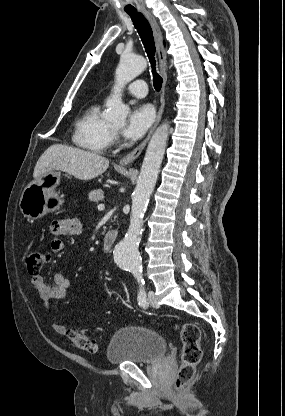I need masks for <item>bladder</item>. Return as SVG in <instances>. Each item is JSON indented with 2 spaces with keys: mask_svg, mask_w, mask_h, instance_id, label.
<instances>
[{
  "mask_svg": "<svg viewBox=\"0 0 285 416\" xmlns=\"http://www.w3.org/2000/svg\"><path fill=\"white\" fill-rule=\"evenodd\" d=\"M167 355V341L154 329L126 325L117 329L107 350L108 362L154 363Z\"/></svg>",
  "mask_w": 285,
  "mask_h": 416,
  "instance_id": "1",
  "label": "bladder"
}]
</instances>
